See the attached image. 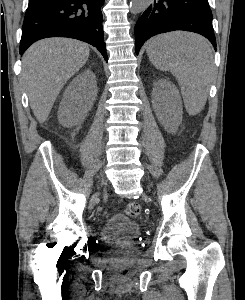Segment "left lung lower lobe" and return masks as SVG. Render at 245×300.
Returning a JSON list of instances; mask_svg holds the SVG:
<instances>
[{"label":"left lung lower lobe","instance_id":"1","mask_svg":"<svg viewBox=\"0 0 245 300\" xmlns=\"http://www.w3.org/2000/svg\"><path fill=\"white\" fill-rule=\"evenodd\" d=\"M174 30L199 33L208 38L216 50L208 0H155L135 25L136 54L150 37Z\"/></svg>","mask_w":245,"mask_h":300}]
</instances>
